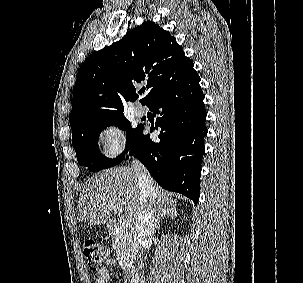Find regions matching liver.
Wrapping results in <instances>:
<instances>
[{
	"mask_svg": "<svg viewBox=\"0 0 303 283\" xmlns=\"http://www.w3.org/2000/svg\"><path fill=\"white\" fill-rule=\"evenodd\" d=\"M137 172L130 167L110 168L91 177L83 186L79 195V222L89 224H104L110 218V212L115 208L124 212L131 226L138 219L139 187ZM155 212L176 209L174 194L164 191L154 184ZM129 225V226H130Z\"/></svg>",
	"mask_w": 303,
	"mask_h": 283,
	"instance_id": "liver-1",
	"label": "liver"
}]
</instances>
